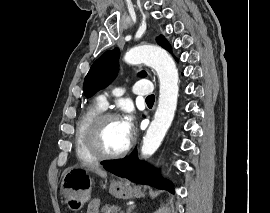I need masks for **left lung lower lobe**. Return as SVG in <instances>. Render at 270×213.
Here are the masks:
<instances>
[{
    "label": "left lung lower lobe",
    "instance_id": "1",
    "mask_svg": "<svg viewBox=\"0 0 270 213\" xmlns=\"http://www.w3.org/2000/svg\"><path fill=\"white\" fill-rule=\"evenodd\" d=\"M104 168L117 176L127 178L135 183L152 185L174 193L173 185L162 180L159 171H155L151 166L137 159L136 151L127 158L104 165Z\"/></svg>",
    "mask_w": 270,
    "mask_h": 213
}]
</instances>
